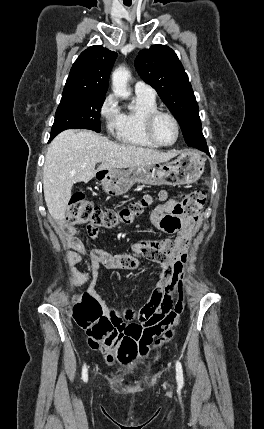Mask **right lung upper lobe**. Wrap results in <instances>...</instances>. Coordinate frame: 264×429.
I'll return each instance as SVG.
<instances>
[{"instance_id": "obj_1", "label": "right lung upper lobe", "mask_w": 264, "mask_h": 429, "mask_svg": "<svg viewBox=\"0 0 264 429\" xmlns=\"http://www.w3.org/2000/svg\"><path fill=\"white\" fill-rule=\"evenodd\" d=\"M116 57L117 53L98 45L83 51L71 68L63 94L105 96Z\"/></svg>"}]
</instances>
